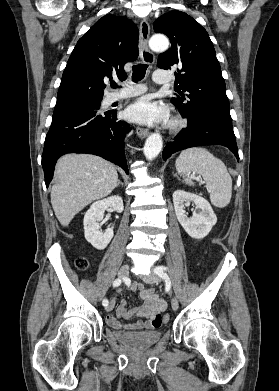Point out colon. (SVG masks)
Segmentation results:
<instances>
[{
  "instance_id": "1",
  "label": "colon",
  "mask_w": 279,
  "mask_h": 391,
  "mask_svg": "<svg viewBox=\"0 0 279 391\" xmlns=\"http://www.w3.org/2000/svg\"><path fill=\"white\" fill-rule=\"evenodd\" d=\"M75 266L79 270H86L88 268V261L84 257H78L75 261ZM169 318V315L166 314L163 316V321L168 322Z\"/></svg>"
}]
</instances>
